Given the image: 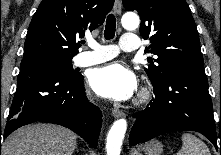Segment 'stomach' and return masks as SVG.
I'll return each instance as SVG.
<instances>
[{
  "mask_svg": "<svg viewBox=\"0 0 221 155\" xmlns=\"http://www.w3.org/2000/svg\"><path fill=\"white\" fill-rule=\"evenodd\" d=\"M144 151L146 155H161L163 146L159 141L153 140L144 146Z\"/></svg>",
  "mask_w": 221,
  "mask_h": 155,
  "instance_id": "1",
  "label": "stomach"
}]
</instances>
